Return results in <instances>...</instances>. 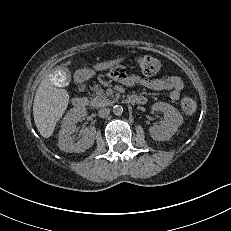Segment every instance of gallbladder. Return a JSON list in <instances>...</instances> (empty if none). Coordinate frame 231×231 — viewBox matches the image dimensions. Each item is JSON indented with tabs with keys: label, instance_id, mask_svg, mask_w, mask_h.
<instances>
[{
	"label": "gallbladder",
	"instance_id": "bac80fb5",
	"mask_svg": "<svg viewBox=\"0 0 231 231\" xmlns=\"http://www.w3.org/2000/svg\"><path fill=\"white\" fill-rule=\"evenodd\" d=\"M50 80L56 88H63L70 82V73L63 66H56L50 73Z\"/></svg>",
	"mask_w": 231,
	"mask_h": 231
}]
</instances>
